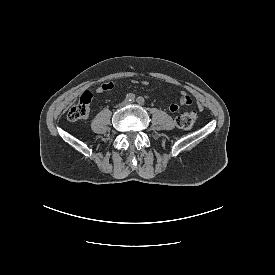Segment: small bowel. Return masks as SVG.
<instances>
[{"mask_svg": "<svg viewBox=\"0 0 275 275\" xmlns=\"http://www.w3.org/2000/svg\"><path fill=\"white\" fill-rule=\"evenodd\" d=\"M113 89H114V84L112 82H104L96 88L95 92L97 94H100L103 92L111 91ZM191 103H192V99L190 95L186 91H182L179 104H176V103L171 104L169 106V110L172 112H176L180 106L190 105Z\"/></svg>", "mask_w": 275, "mask_h": 275, "instance_id": "small-bowel-1", "label": "small bowel"}]
</instances>
